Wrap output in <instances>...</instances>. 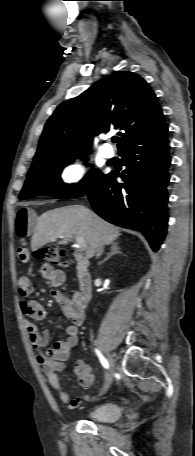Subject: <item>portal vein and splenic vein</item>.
Returning a JSON list of instances; mask_svg holds the SVG:
<instances>
[{
  "label": "portal vein and splenic vein",
  "instance_id": "1",
  "mask_svg": "<svg viewBox=\"0 0 195 456\" xmlns=\"http://www.w3.org/2000/svg\"><path fill=\"white\" fill-rule=\"evenodd\" d=\"M75 242L77 243L80 251H84L87 247L86 241L84 240L83 237L81 236H76L75 237Z\"/></svg>",
  "mask_w": 195,
  "mask_h": 456
}]
</instances>
